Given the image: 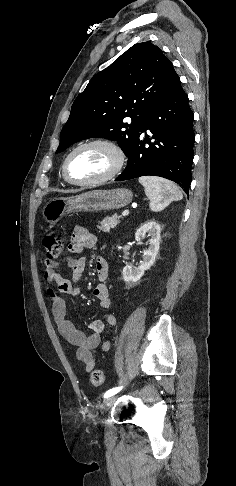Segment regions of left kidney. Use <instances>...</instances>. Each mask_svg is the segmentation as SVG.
Wrapping results in <instances>:
<instances>
[{
  "instance_id": "5707ae66",
  "label": "left kidney",
  "mask_w": 236,
  "mask_h": 486,
  "mask_svg": "<svg viewBox=\"0 0 236 486\" xmlns=\"http://www.w3.org/2000/svg\"><path fill=\"white\" fill-rule=\"evenodd\" d=\"M160 225L150 220L143 224L135 233V240L140 241L141 237L148 234L150 236L149 247L143 251V259L138 267L125 266L122 271L123 279L126 283H136L155 262L160 247Z\"/></svg>"
}]
</instances>
